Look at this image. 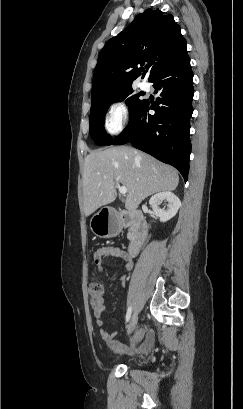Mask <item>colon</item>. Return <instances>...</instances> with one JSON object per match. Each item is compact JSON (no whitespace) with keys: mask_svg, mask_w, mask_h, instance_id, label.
Returning <instances> with one entry per match:
<instances>
[{"mask_svg":"<svg viewBox=\"0 0 243 409\" xmlns=\"http://www.w3.org/2000/svg\"><path fill=\"white\" fill-rule=\"evenodd\" d=\"M89 292L91 294V303L95 309H99L103 305V287L100 283L95 282L89 285Z\"/></svg>","mask_w":243,"mask_h":409,"instance_id":"1","label":"colon"}]
</instances>
